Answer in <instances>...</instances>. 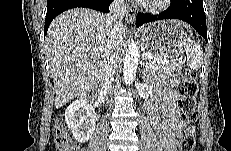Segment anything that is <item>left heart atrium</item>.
I'll return each mask as SVG.
<instances>
[{
  "label": "left heart atrium",
  "instance_id": "1",
  "mask_svg": "<svg viewBox=\"0 0 231 151\" xmlns=\"http://www.w3.org/2000/svg\"><path fill=\"white\" fill-rule=\"evenodd\" d=\"M147 0H137L136 2H138V3H144V2H146Z\"/></svg>",
  "mask_w": 231,
  "mask_h": 151
}]
</instances>
